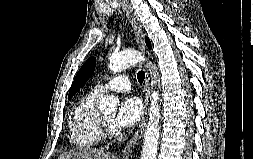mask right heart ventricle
<instances>
[{"instance_id":"e07e8e85","label":"right heart ventricle","mask_w":253,"mask_h":159,"mask_svg":"<svg viewBox=\"0 0 253 159\" xmlns=\"http://www.w3.org/2000/svg\"><path fill=\"white\" fill-rule=\"evenodd\" d=\"M97 94L90 92L72 108L68 117L70 143L80 149H91L103 139L101 115L95 107Z\"/></svg>"}]
</instances>
